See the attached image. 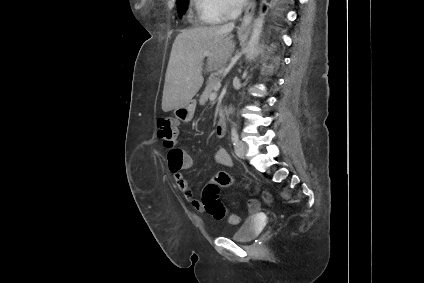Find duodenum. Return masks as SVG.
<instances>
[{
	"mask_svg": "<svg viewBox=\"0 0 424 283\" xmlns=\"http://www.w3.org/2000/svg\"><path fill=\"white\" fill-rule=\"evenodd\" d=\"M225 131H226V116L224 113H222L219 116L217 124H216V134L221 137L225 134Z\"/></svg>",
	"mask_w": 424,
	"mask_h": 283,
	"instance_id": "1",
	"label": "duodenum"
}]
</instances>
